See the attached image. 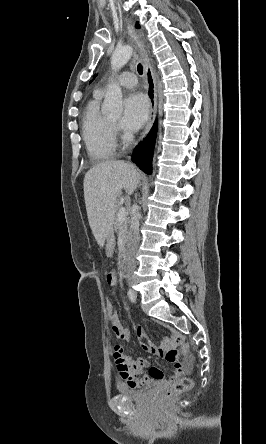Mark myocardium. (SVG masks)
<instances>
[{
  "mask_svg": "<svg viewBox=\"0 0 266 444\" xmlns=\"http://www.w3.org/2000/svg\"><path fill=\"white\" fill-rule=\"evenodd\" d=\"M110 123H111V127H112L113 131H115V129L117 127L116 122L110 120Z\"/></svg>",
  "mask_w": 266,
  "mask_h": 444,
  "instance_id": "1",
  "label": "myocardium"
}]
</instances>
